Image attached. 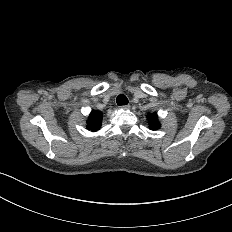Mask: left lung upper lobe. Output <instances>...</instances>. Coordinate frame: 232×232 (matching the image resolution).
<instances>
[{
	"label": "left lung upper lobe",
	"mask_w": 232,
	"mask_h": 232,
	"mask_svg": "<svg viewBox=\"0 0 232 232\" xmlns=\"http://www.w3.org/2000/svg\"><path fill=\"white\" fill-rule=\"evenodd\" d=\"M147 120L152 130H157L160 128V123L158 121V116L156 113L148 114Z\"/></svg>",
	"instance_id": "5c2ea615"
}]
</instances>
